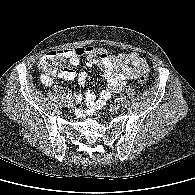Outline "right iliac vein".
<instances>
[{"instance_id":"right-iliac-vein-1","label":"right iliac vein","mask_w":195,"mask_h":195,"mask_svg":"<svg viewBox=\"0 0 195 195\" xmlns=\"http://www.w3.org/2000/svg\"><path fill=\"white\" fill-rule=\"evenodd\" d=\"M67 106H68V108H70V109H74L75 108V103L73 102V100H68L67 101Z\"/></svg>"}]
</instances>
